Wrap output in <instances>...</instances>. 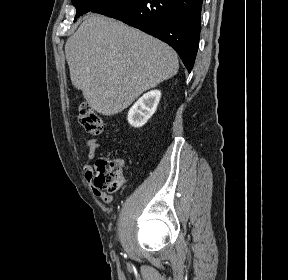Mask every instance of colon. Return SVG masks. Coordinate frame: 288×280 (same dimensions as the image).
I'll list each match as a JSON object with an SVG mask.
<instances>
[{"label": "colon", "mask_w": 288, "mask_h": 280, "mask_svg": "<svg viewBox=\"0 0 288 280\" xmlns=\"http://www.w3.org/2000/svg\"><path fill=\"white\" fill-rule=\"evenodd\" d=\"M78 118L90 135H99L103 126L99 116L88 103L79 107ZM123 182V162L120 159H99L94 167V184L98 188H105L110 192L117 191Z\"/></svg>", "instance_id": "obj_1"}]
</instances>
